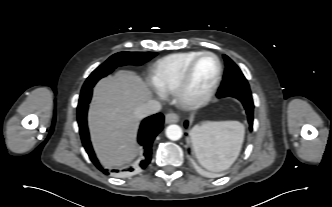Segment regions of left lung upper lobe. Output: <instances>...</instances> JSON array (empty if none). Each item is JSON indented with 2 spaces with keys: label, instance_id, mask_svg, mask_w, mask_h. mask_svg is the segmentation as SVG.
<instances>
[{
  "label": "left lung upper lobe",
  "instance_id": "1",
  "mask_svg": "<svg viewBox=\"0 0 332 207\" xmlns=\"http://www.w3.org/2000/svg\"><path fill=\"white\" fill-rule=\"evenodd\" d=\"M226 68L218 95H251L249 84L239 67L226 55H223Z\"/></svg>",
  "mask_w": 332,
  "mask_h": 207
}]
</instances>
